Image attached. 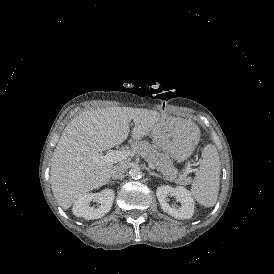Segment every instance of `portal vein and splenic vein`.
Masks as SVG:
<instances>
[{
  "label": "portal vein and splenic vein",
  "mask_w": 274,
  "mask_h": 274,
  "mask_svg": "<svg viewBox=\"0 0 274 274\" xmlns=\"http://www.w3.org/2000/svg\"><path fill=\"white\" fill-rule=\"evenodd\" d=\"M134 153L131 152V150H121V151H115L110 150L108 153L104 156L98 155L96 156V160L104 163H117L119 161H122L126 159L128 156H133ZM150 168H154V165L152 163H149Z\"/></svg>",
  "instance_id": "18ae733b"
}]
</instances>
